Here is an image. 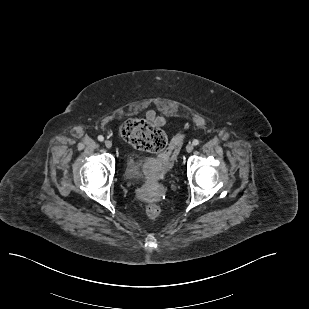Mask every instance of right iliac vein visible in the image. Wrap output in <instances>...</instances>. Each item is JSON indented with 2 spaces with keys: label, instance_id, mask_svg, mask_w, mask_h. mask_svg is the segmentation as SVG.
Masks as SVG:
<instances>
[{
  "label": "right iliac vein",
  "instance_id": "obj_1",
  "mask_svg": "<svg viewBox=\"0 0 309 309\" xmlns=\"http://www.w3.org/2000/svg\"><path fill=\"white\" fill-rule=\"evenodd\" d=\"M104 144H105V146L107 148H111L112 147V142L110 140H105Z\"/></svg>",
  "mask_w": 309,
  "mask_h": 309
}]
</instances>
